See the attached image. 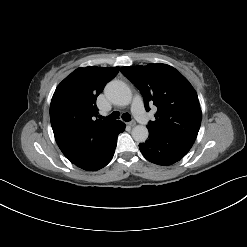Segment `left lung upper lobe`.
Instances as JSON below:
<instances>
[{
  "mask_svg": "<svg viewBox=\"0 0 247 247\" xmlns=\"http://www.w3.org/2000/svg\"><path fill=\"white\" fill-rule=\"evenodd\" d=\"M141 92L146 111L157 107L150 133L194 143L201 124L198 96L188 80L167 64L127 66L120 69Z\"/></svg>",
  "mask_w": 247,
  "mask_h": 247,
  "instance_id": "1",
  "label": "left lung upper lobe"
}]
</instances>
